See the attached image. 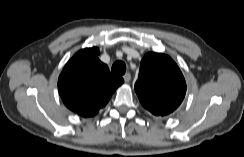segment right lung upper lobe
I'll return each instance as SVG.
<instances>
[{"mask_svg": "<svg viewBox=\"0 0 244 157\" xmlns=\"http://www.w3.org/2000/svg\"><path fill=\"white\" fill-rule=\"evenodd\" d=\"M96 47L78 51L65 65L58 79L64 104L83 117L94 116L104 107L124 80L112 75L98 59Z\"/></svg>", "mask_w": 244, "mask_h": 157, "instance_id": "obj_1", "label": "right lung upper lobe"}]
</instances>
